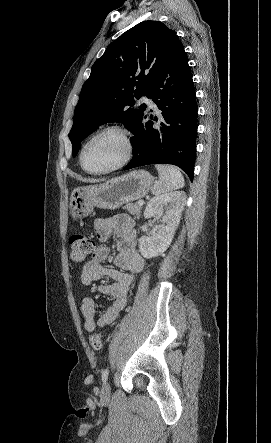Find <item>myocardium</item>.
Here are the masks:
<instances>
[{"mask_svg": "<svg viewBox=\"0 0 271 443\" xmlns=\"http://www.w3.org/2000/svg\"><path fill=\"white\" fill-rule=\"evenodd\" d=\"M110 131H115L118 132L125 143V153L122 157V159L117 162L115 165L108 167L106 169H102V170H90L88 169L85 164H84V151L85 148L87 147V145L97 136L106 133V132H110ZM135 152V143H134V138L132 135V132L130 131V129H128L127 127L120 125V124H111V125H107L102 127L101 129L97 130L95 133H93L82 145L80 153H79V163L81 168L88 174H95V175H99V174H106V173H110L112 171H115L117 169L122 168L123 166H125L127 163L130 162V160L133 158Z\"/></svg>", "mask_w": 271, "mask_h": 443, "instance_id": "myocardium-1", "label": "myocardium"}]
</instances>
